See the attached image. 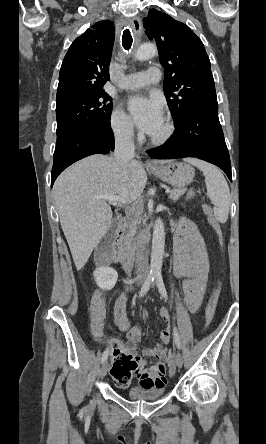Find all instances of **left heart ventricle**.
I'll return each instance as SVG.
<instances>
[{
	"mask_svg": "<svg viewBox=\"0 0 266 444\" xmlns=\"http://www.w3.org/2000/svg\"><path fill=\"white\" fill-rule=\"evenodd\" d=\"M164 130H165V122H163V124L159 127V129L151 136H160L163 134Z\"/></svg>",
	"mask_w": 266,
	"mask_h": 444,
	"instance_id": "left-heart-ventricle-1",
	"label": "left heart ventricle"
}]
</instances>
